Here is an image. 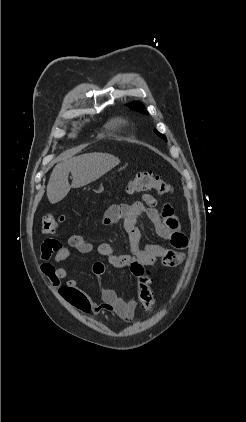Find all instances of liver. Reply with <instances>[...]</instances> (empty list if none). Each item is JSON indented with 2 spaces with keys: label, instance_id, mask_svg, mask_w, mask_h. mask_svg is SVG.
<instances>
[{
  "label": "liver",
  "instance_id": "obj_1",
  "mask_svg": "<svg viewBox=\"0 0 246 422\" xmlns=\"http://www.w3.org/2000/svg\"><path fill=\"white\" fill-rule=\"evenodd\" d=\"M119 163L117 157L107 153L83 154L58 163L47 185L49 202L55 204L61 201L71 188H79L96 181ZM69 173L72 174L71 185L68 182Z\"/></svg>",
  "mask_w": 246,
  "mask_h": 422
}]
</instances>
